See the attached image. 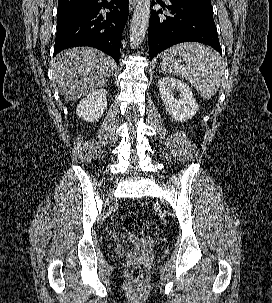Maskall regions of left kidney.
Returning a JSON list of instances; mask_svg holds the SVG:
<instances>
[{
	"instance_id": "obj_1",
	"label": "left kidney",
	"mask_w": 272,
	"mask_h": 303,
	"mask_svg": "<svg viewBox=\"0 0 272 303\" xmlns=\"http://www.w3.org/2000/svg\"><path fill=\"white\" fill-rule=\"evenodd\" d=\"M160 97L169 115L178 122H185L199 110V106L190 87L183 81L173 77H161L158 82ZM173 90L179 91L176 99Z\"/></svg>"
}]
</instances>
